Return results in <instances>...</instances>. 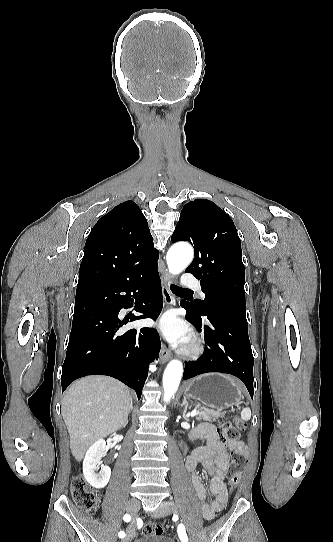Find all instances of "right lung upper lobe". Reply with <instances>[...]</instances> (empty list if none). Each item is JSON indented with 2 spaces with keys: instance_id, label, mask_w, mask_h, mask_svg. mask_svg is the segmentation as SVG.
<instances>
[{
  "instance_id": "1",
  "label": "right lung upper lobe",
  "mask_w": 333,
  "mask_h": 542,
  "mask_svg": "<svg viewBox=\"0 0 333 542\" xmlns=\"http://www.w3.org/2000/svg\"><path fill=\"white\" fill-rule=\"evenodd\" d=\"M108 249L118 256L132 251L159 256L153 247L148 223L140 208L133 201L123 202L99 219L91 230L85 249ZM131 271L123 264L99 269L80 267L78 286L106 283L119 284L129 280Z\"/></svg>"
}]
</instances>
